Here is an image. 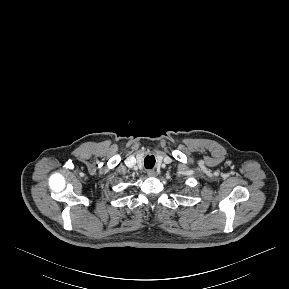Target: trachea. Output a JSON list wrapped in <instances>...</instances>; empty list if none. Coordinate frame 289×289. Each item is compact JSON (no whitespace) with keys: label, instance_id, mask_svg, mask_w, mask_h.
Instances as JSON below:
<instances>
[{"label":"trachea","instance_id":"trachea-1","mask_svg":"<svg viewBox=\"0 0 289 289\" xmlns=\"http://www.w3.org/2000/svg\"><path fill=\"white\" fill-rule=\"evenodd\" d=\"M155 165V157L153 155H147L144 159V166L147 169H152Z\"/></svg>","mask_w":289,"mask_h":289}]
</instances>
